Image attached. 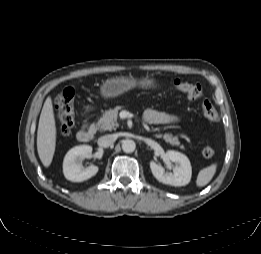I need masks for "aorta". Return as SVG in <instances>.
<instances>
[{
    "instance_id": "aorta-1",
    "label": "aorta",
    "mask_w": 261,
    "mask_h": 254,
    "mask_svg": "<svg viewBox=\"0 0 261 254\" xmlns=\"http://www.w3.org/2000/svg\"><path fill=\"white\" fill-rule=\"evenodd\" d=\"M136 148V144L133 140L126 139L122 142V150L125 153H132Z\"/></svg>"
}]
</instances>
